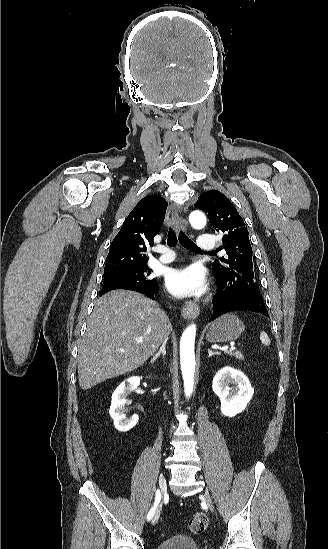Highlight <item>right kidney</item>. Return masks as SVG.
<instances>
[{
    "label": "right kidney",
    "instance_id": "1",
    "mask_svg": "<svg viewBox=\"0 0 328 549\" xmlns=\"http://www.w3.org/2000/svg\"><path fill=\"white\" fill-rule=\"evenodd\" d=\"M139 385L140 377H130V379L123 381L112 395L111 407L109 409L110 417H112L116 429L122 431V433L130 431L138 423V415H133L131 419H126L124 407L127 403L126 397L132 391H135Z\"/></svg>",
    "mask_w": 328,
    "mask_h": 549
}]
</instances>
